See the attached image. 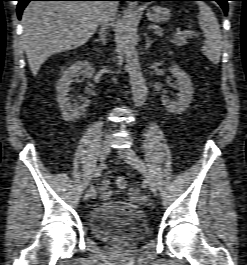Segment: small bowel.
I'll return each mask as SVG.
<instances>
[{
	"label": "small bowel",
	"instance_id": "1",
	"mask_svg": "<svg viewBox=\"0 0 247 265\" xmlns=\"http://www.w3.org/2000/svg\"><path fill=\"white\" fill-rule=\"evenodd\" d=\"M100 196L102 198H108L111 196V192L108 189V180H104L102 182L100 187ZM126 199L129 202L139 203V204L146 202V197L141 193L138 187L130 188L126 194Z\"/></svg>",
	"mask_w": 247,
	"mask_h": 265
}]
</instances>
